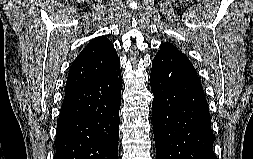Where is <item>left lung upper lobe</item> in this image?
<instances>
[{
  "label": "left lung upper lobe",
  "mask_w": 253,
  "mask_h": 159,
  "mask_svg": "<svg viewBox=\"0 0 253 159\" xmlns=\"http://www.w3.org/2000/svg\"><path fill=\"white\" fill-rule=\"evenodd\" d=\"M160 52H179V50L176 49V47L170 43H165L160 46Z\"/></svg>",
  "instance_id": "5c2ea615"
}]
</instances>
